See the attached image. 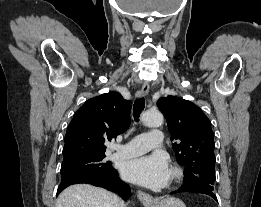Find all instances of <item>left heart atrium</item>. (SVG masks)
<instances>
[{"label": "left heart atrium", "mask_w": 261, "mask_h": 207, "mask_svg": "<svg viewBox=\"0 0 261 207\" xmlns=\"http://www.w3.org/2000/svg\"><path fill=\"white\" fill-rule=\"evenodd\" d=\"M123 177L135 184L159 188L168 179V162L164 155L154 153L128 160L122 168Z\"/></svg>", "instance_id": "left-heart-atrium-1"}]
</instances>
